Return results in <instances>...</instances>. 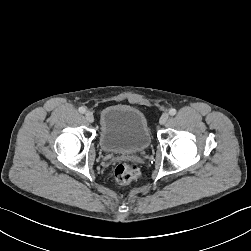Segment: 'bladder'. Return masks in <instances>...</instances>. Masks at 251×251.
<instances>
[{
  "instance_id": "obj_1",
  "label": "bladder",
  "mask_w": 251,
  "mask_h": 251,
  "mask_svg": "<svg viewBox=\"0 0 251 251\" xmlns=\"http://www.w3.org/2000/svg\"><path fill=\"white\" fill-rule=\"evenodd\" d=\"M99 143L108 153H139L151 143L145 115L137 108L115 104L103 109L100 116Z\"/></svg>"
}]
</instances>
